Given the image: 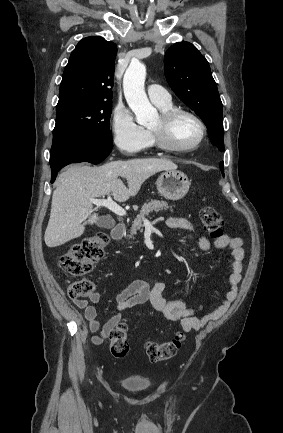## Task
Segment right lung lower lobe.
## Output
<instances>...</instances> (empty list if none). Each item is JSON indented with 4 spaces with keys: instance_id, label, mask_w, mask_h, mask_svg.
<instances>
[{
    "instance_id": "1",
    "label": "right lung lower lobe",
    "mask_w": 283,
    "mask_h": 433,
    "mask_svg": "<svg viewBox=\"0 0 283 433\" xmlns=\"http://www.w3.org/2000/svg\"><path fill=\"white\" fill-rule=\"evenodd\" d=\"M112 148V142L101 143L90 138L77 136L53 138L50 151L51 182H54L58 171L64 166L77 162L98 164L110 154Z\"/></svg>"
}]
</instances>
